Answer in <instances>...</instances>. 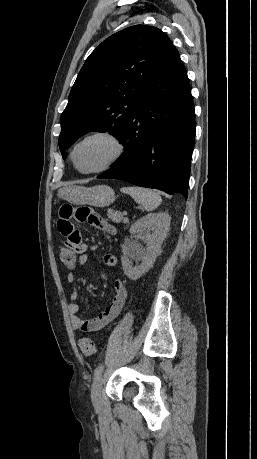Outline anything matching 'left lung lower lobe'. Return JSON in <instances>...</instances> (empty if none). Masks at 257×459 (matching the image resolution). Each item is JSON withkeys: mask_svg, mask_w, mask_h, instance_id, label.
Here are the masks:
<instances>
[{"mask_svg": "<svg viewBox=\"0 0 257 459\" xmlns=\"http://www.w3.org/2000/svg\"><path fill=\"white\" fill-rule=\"evenodd\" d=\"M195 114L186 70L174 48L139 95L121 142L124 154L99 179H120L188 195Z\"/></svg>", "mask_w": 257, "mask_h": 459, "instance_id": "obj_1", "label": "left lung lower lobe"}]
</instances>
